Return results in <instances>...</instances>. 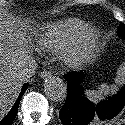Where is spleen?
<instances>
[{"label":"spleen","instance_id":"3e777b00","mask_svg":"<svg viewBox=\"0 0 125 125\" xmlns=\"http://www.w3.org/2000/svg\"><path fill=\"white\" fill-rule=\"evenodd\" d=\"M125 84V63H123L117 70V77L115 78V84L107 85L101 84L98 90L86 91V96L89 100L97 102L104 96L113 94L118 90V85Z\"/></svg>","mask_w":125,"mask_h":125}]
</instances>
